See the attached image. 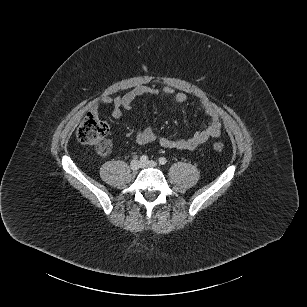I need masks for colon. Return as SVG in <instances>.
Listing matches in <instances>:
<instances>
[{
	"label": "colon",
	"mask_w": 307,
	"mask_h": 307,
	"mask_svg": "<svg viewBox=\"0 0 307 307\" xmlns=\"http://www.w3.org/2000/svg\"><path fill=\"white\" fill-rule=\"evenodd\" d=\"M77 138L82 144L93 146L101 155L111 152L112 143L108 137V127L96 113L89 112L77 130ZM213 148L217 152L223 151V145L215 142Z\"/></svg>",
	"instance_id": "colon-1"
}]
</instances>
